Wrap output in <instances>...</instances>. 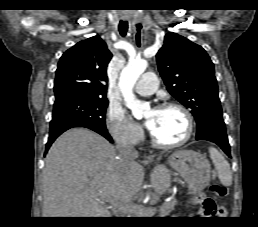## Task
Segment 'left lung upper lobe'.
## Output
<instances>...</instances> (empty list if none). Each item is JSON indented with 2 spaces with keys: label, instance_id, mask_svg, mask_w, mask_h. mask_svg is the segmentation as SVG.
Returning a JSON list of instances; mask_svg holds the SVG:
<instances>
[{
  "label": "left lung upper lobe",
  "instance_id": "1",
  "mask_svg": "<svg viewBox=\"0 0 258 227\" xmlns=\"http://www.w3.org/2000/svg\"><path fill=\"white\" fill-rule=\"evenodd\" d=\"M167 90L191 109L199 137L210 130L225 131L214 65L199 45L168 33L156 55Z\"/></svg>",
  "mask_w": 258,
  "mask_h": 227
}]
</instances>
